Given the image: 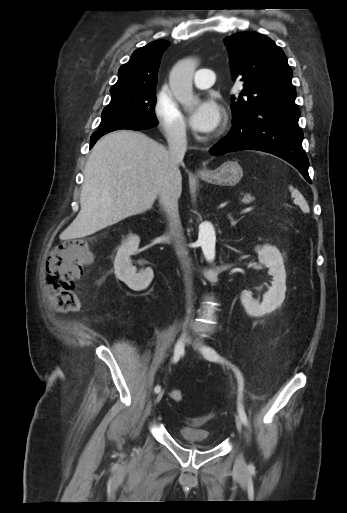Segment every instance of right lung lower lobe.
I'll return each mask as SVG.
<instances>
[{
  "mask_svg": "<svg viewBox=\"0 0 347 513\" xmlns=\"http://www.w3.org/2000/svg\"><path fill=\"white\" fill-rule=\"evenodd\" d=\"M119 129L141 130V129H148V127H144V126H140V125H136V124H122V125H117V126L109 127L106 129L98 130L97 132L93 133V135L90 138V148L93 147V145L96 143V141L101 136H103L109 132L119 130Z\"/></svg>",
  "mask_w": 347,
  "mask_h": 513,
  "instance_id": "98d812e1",
  "label": "right lung lower lobe"
}]
</instances>
